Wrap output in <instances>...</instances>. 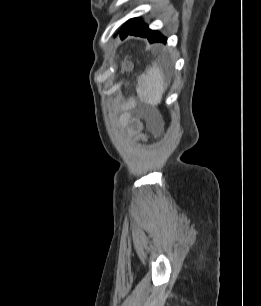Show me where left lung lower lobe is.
<instances>
[{
  "label": "left lung lower lobe",
  "mask_w": 261,
  "mask_h": 306,
  "mask_svg": "<svg viewBox=\"0 0 261 306\" xmlns=\"http://www.w3.org/2000/svg\"><path fill=\"white\" fill-rule=\"evenodd\" d=\"M127 35L145 37L150 43L166 41L157 31L150 30L146 24L140 19L134 18L130 25L120 34V38L124 39Z\"/></svg>",
  "instance_id": "1"
}]
</instances>
